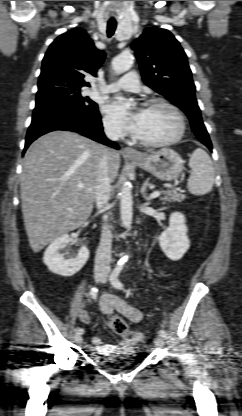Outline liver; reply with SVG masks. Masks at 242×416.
Segmentation results:
<instances>
[{"mask_svg": "<svg viewBox=\"0 0 242 416\" xmlns=\"http://www.w3.org/2000/svg\"><path fill=\"white\" fill-rule=\"evenodd\" d=\"M104 149L97 142L64 130L49 132L28 148L23 160L21 207L35 253L89 218ZM120 161V154L111 150V181L118 175ZM80 184L83 188L78 187Z\"/></svg>", "mask_w": 242, "mask_h": 416, "instance_id": "6515ba94", "label": "liver"}]
</instances>
